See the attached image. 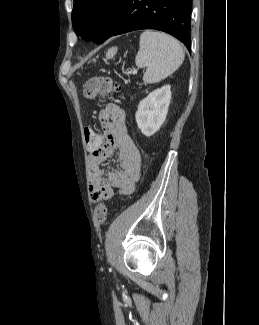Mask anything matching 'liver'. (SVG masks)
I'll use <instances>...</instances> for the list:
<instances>
[{
    "label": "liver",
    "instance_id": "liver-1",
    "mask_svg": "<svg viewBox=\"0 0 259 325\" xmlns=\"http://www.w3.org/2000/svg\"><path fill=\"white\" fill-rule=\"evenodd\" d=\"M113 55V49H110L108 53L106 54V57L109 58Z\"/></svg>",
    "mask_w": 259,
    "mask_h": 325
}]
</instances>
